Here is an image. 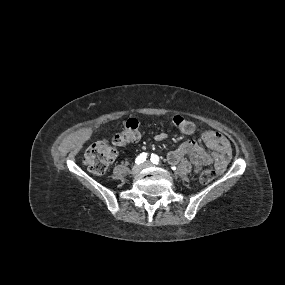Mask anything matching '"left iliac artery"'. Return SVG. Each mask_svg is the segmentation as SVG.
Instances as JSON below:
<instances>
[{"mask_svg": "<svg viewBox=\"0 0 285 285\" xmlns=\"http://www.w3.org/2000/svg\"><path fill=\"white\" fill-rule=\"evenodd\" d=\"M150 160L156 165L160 163L159 157L156 154H151Z\"/></svg>", "mask_w": 285, "mask_h": 285, "instance_id": "44dca946", "label": "left iliac artery"}]
</instances>
